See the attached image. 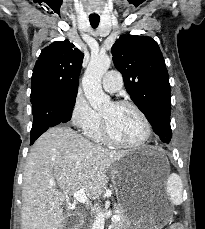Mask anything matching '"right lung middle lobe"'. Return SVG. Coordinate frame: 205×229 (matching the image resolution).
I'll return each instance as SVG.
<instances>
[{
  "instance_id": "right-lung-middle-lobe-1",
  "label": "right lung middle lobe",
  "mask_w": 205,
  "mask_h": 229,
  "mask_svg": "<svg viewBox=\"0 0 205 229\" xmlns=\"http://www.w3.org/2000/svg\"><path fill=\"white\" fill-rule=\"evenodd\" d=\"M77 91L78 90H71L70 92H68L67 94L69 95V96H71L72 98H74V99H76V96H77ZM45 97V96H44ZM41 99V98H40ZM39 100V99H38ZM37 101V100H36ZM33 102H35V101H31V103H33Z\"/></svg>"
}]
</instances>
